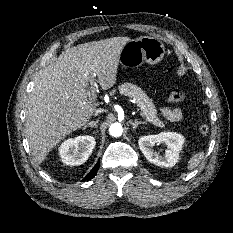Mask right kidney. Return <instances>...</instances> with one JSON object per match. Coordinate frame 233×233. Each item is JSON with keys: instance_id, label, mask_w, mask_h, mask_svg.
Listing matches in <instances>:
<instances>
[{"instance_id": "right-kidney-1", "label": "right kidney", "mask_w": 233, "mask_h": 233, "mask_svg": "<svg viewBox=\"0 0 233 233\" xmlns=\"http://www.w3.org/2000/svg\"><path fill=\"white\" fill-rule=\"evenodd\" d=\"M95 144L94 137L89 135L69 138L60 145L59 155L66 165H81L88 160Z\"/></svg>"}]
</instances>
